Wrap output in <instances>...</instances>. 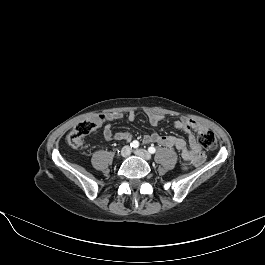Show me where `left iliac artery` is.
Returning <instances> with one entry per match:
<instances>
[{"label":"left iliac artery","mask_w":265,"mask_h":265,"mask_svg":"<svg viewBox=\"0 0 265 265\" xmlns=\"http://www.w3.org/2000/svg\"><path fill=\"white\" fill-rule=\"evenodd\" d=\"M149 153L154 154L156 152L155 147L151 146L148 148Z\"/></svg>","instance_id":"obj_1"}]
</instances>
